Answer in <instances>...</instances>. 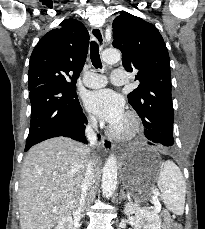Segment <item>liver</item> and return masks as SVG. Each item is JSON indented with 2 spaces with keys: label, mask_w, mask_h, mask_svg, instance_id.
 <instances>
[{
  "label": "liver",
  "mask_w": 205,
  "mask_h": 229,
  "mask_svg": "<svg viewBox=\"0 0 205 229\" xmlns=\"http://www.w3.org/2000/svg\"><path fill=\"white\" fill-rule=\"evenodd\" d=\"M100 170L97 155L70 138L57 137L33 146L20 175L21 229H51L79 205L86 165Z\"/></svg>",
  "instance_id": "1"
}]
</instances>
